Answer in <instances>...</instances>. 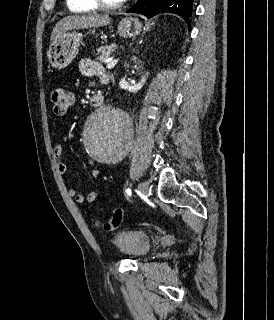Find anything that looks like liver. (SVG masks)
I'll return each mask as SVG.
<instances>
[{
  "mask_svg": "<svg viewBox=\"0 0 274 320\" xmlns=\"http://www.w3.org/2000/svg\"><path fill=\"white\" fill-rule=\"evenodd\" d=\"M112 20L109 16H100V14H78V16H67L60 22H57L51 34V42H55L63 32L68 30H84V28H101V26H109Z\"/></svg>",
  "mask_w": 274,
  "mask_h": 320,
  "instance_id": "obj_1",
  "label": "liver"
}]
</instances>
